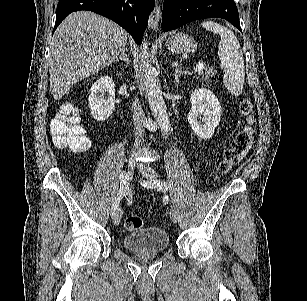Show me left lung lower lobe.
<instances>
[{
	"label": "left lung lower lobe",
	"mask_w": 307,
	"mask_h": 301,
	"mask_svg": "<svg viewBox=\"0 0 307 301\" xmlns=\"http://www.w3.org/2000/svg\"><path fill=\"white\" fill-rule=\"evenodd\" d=\"M210 17L226 19L241 31L237 6L233 0H167L163 5L162 29L169 31L188 22Z\"/></svg>",
	"instance_id": "obj_1"
}]
</instances>
